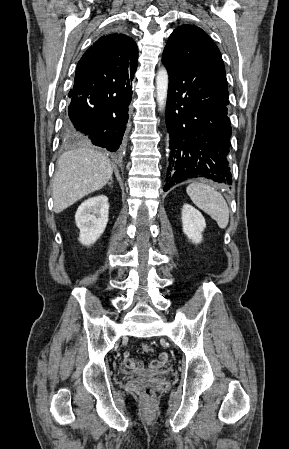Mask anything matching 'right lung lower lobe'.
<instances>
[{
    "instance_id": "obj_1",
    "label": "right lung lower lobe",
    "mask_w": 289,
    "mask_h": 449,
    "mask_svg": "<svg viewBox=\"0 0 289 449\" xmlns=\"http://www.w3.org/2000/svg\"><path fill=\"white\" fill-rule=\"evenodd\" d=\"M134 74L114 80L90 81L74 78L65 128L69 135L89 138L111 152L122 143L132 100Z\"/></svg>"
}]
</instances>
